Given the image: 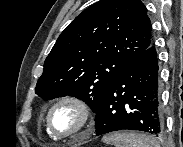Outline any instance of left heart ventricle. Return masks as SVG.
Segmentation results:
<instances>
[{
    "mask_svg": "<svg viewBox=\"0 0 183 147\" xmlns=\"http://www.w3.org/2000/svg\"><path fill=\"white\" fill-rule=\"evenodd\" d=\"M80 111L72 104H62L51 114V124L55 132L66 134L76 130L81 124Z\"/></svg>",
    "mask_w": 183,
    "mask_h": 147,
    "instance_id": "obj_1",
    "label": "left heart ventricle"
}]
</instances>
